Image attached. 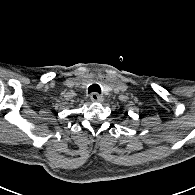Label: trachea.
I'll return each instance as SVG.
<instances>
[{"instance_id":"trachea-1","label":"trachea","mask_w":195,"mask_h":195,"mask_svg":"<svg viewBox=\"0 0 195 195\" xmlns=\"http://www.w3.org/2000/svg\"><path fill=\"white\" fill-rule=\"evenodd\" d=\"M88 92L89 93H92V92L101 93V88L98 84H93V85L89 86Z\"/></svg>"}]
</instances>
